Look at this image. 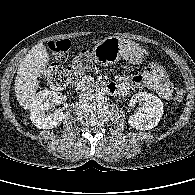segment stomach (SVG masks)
Returning a JSON list of instances; mask_svg holds the SVG:
<instances>
[{
	"mask_svg": "<svg viewBox=\"0 0 195 195\" xmlns=\"http://www.w3.org/2000/svg\"><path fill=\"white\" fill-rule=\"evenodd\" d=\"M92 56L96 63L103 66L115 64L121 58L139 64L143 59V50L135 42L107 37L93 48Z\"/></svg>",
	"mask_w": 195,
	"mask_h": 195,
	"instance_id": "1",
	"label": "stomach"
}]
</instances>
